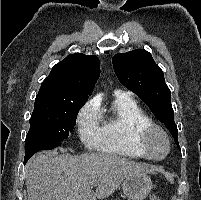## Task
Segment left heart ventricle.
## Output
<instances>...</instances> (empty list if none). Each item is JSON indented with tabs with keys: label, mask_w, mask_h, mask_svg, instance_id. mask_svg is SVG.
I'll use <instances>...</instances> for the list:
<instances>
[{
	"label": "left heart ventricle",
	"mask_w": 201,
	"mask_h": 200,
	"mask_svg": "<svg viewBox=\"0 0 201 200\" xmlns=\"http://www.w3.org/2000/svg\"><path fill=\"white\" fill-rule=\"evenodd\" d=\"M149 146L151 154L157 158L162 157L167 151V142L164 136L157 131L150 135Z\"/></svg>",
	"instance_id": "b2bd125f"
}]
</instances>
